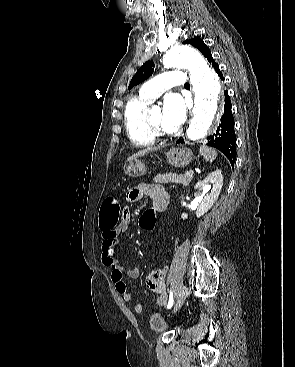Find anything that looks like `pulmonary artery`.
I'll return each instance as SVG.
<instances>
[{
    "label": "pulmonary artery",
    "instance_id": "pulmonary-artery-1",
    "mask_svg": "<svg viewBox=\"0 0 295 367\" xmlns=\"http://www.w3.org/2000/svg\"><path fill=\"white\" fill-rule=\"evenodd\" d=\"M185 82L186 77L182 71H166L146 82L141 87L139 95L143 99L153 100L167 89L173 86H182Z\"/></svg>",
    "mask_w": 295,
    "mask_h": 367
}]
</instances>
